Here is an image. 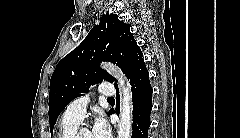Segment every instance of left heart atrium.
Segmentation results:
<instances>
[{"label":"left heart atrium","instance_id":"left-heart-atrium-1","mask_svg":"<svg viewBox=\"0 0 240 138\" xmlns=\"http://www.w3.org/2000/svg\"><path fill=\"white\" fill-rule=\"evenodd\" d=\"M93 138H107L110 134L109 127L102 117H98L92 127Z\"/></svg>","mask_w":240,"mask_h":138}]
</instances>
